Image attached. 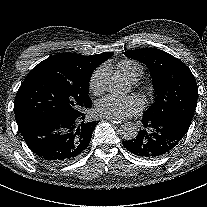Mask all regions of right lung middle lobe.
I'll return each mask as SVG.
<instances>
[{
  "instance_id": "dd1d6c3e",
  "label": "right lung middle lobe",
  "mask_w": 207,
  "mask_h": 207,
  "mask_svg": "<svg viewBox=\"0 0 207 207\" xmlns=\"http://www.w3.org/2000/svg\"><path fill=\"white\" fill-rule=\"evenodd\" d=\"M89 81L54 73H29L14 101L17 124L48 117H78L92 106Z\"/></svg>"
}]
</instances>
